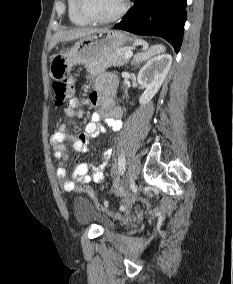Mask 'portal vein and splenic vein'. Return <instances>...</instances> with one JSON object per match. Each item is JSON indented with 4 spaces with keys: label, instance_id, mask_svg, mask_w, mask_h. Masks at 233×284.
<instances>
[{
    "label": "portal vein and splenic vein",
    "instance_id": "1",
    "mask_svg": "<svg viewBox=\"0 0 233 284\" xmlns=\"http://www.w3.org/2000/svg\"><path fill=\"white\" fill-rule=\"evenodd\" d=\"M133 56V52L132 51H127L124 55V59H130Z\"/></svg>",
    "mask_w": 233,
    "mask_h": 284
}]
</instances>
